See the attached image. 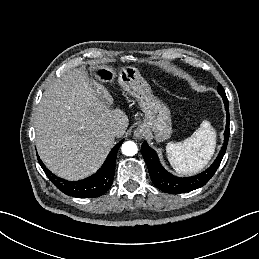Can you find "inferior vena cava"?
<instances>
[{"label": "inferior vena cava", "mask_w": 259, "mask_h": 259, "mask_svg": "<svg viewBox=\"0 0 259 259\" xmlns=\"http://www.w3.org/2000/svg\"><path fill=\"white\" fill-rule=\"evenodd\" d=\"M111 132H112L114 135H118V134L121 132V128H120L118 125H114V126H112V128H111Z\"/></svg>", "instance_id": "602c4592"}]
</instances>
